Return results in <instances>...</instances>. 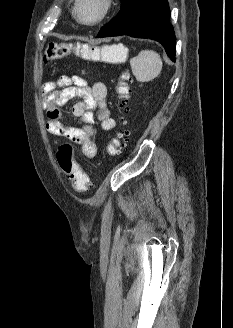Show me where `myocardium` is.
Returning a JSON list of instances; mask_svg holds the SVG:
<instances>
[{
  "instance_id": "f54148a6",
  "label": "myocardium",
  "mask_w": 233,
  "mask_h": 328,
  "mask_svg": "<svg viewBox=\"0 0 233 328\" xmlns=\"http://www.w3.org/2000/svg\"><path fill=\"white\" fill-rule=\"evenodd\" d=\"M81 0H75L74 3V14L77 21L83 25L94 26L101 23L107 18L113 7V0H102V10L100 14L93 20L87 21L82 18L80 9Z\"/></svg>"
}]
</instances>
